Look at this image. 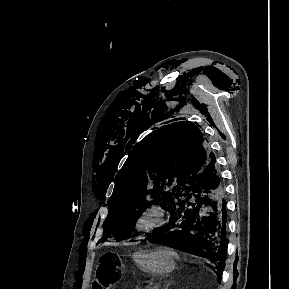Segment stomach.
<instances>
[{
    "instance_id": "0dacf381",
    "label": "stomach",
    "mask_w": 289,
    "mask_h": 289,
    "mask_svg": "<svg viewBox=\"0 0 289 289\" xmlns=\"http://www.w3.org/2000/svg\"><path fill=\"white\" fill-rule=\"evenodd\" d=\"M132 257L137 266L150 275H165L175 268L174 253L168 248H159L153 252L140 250Z\"/></svg>"
}]
</instances>
